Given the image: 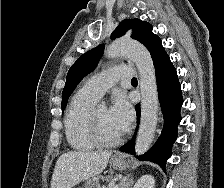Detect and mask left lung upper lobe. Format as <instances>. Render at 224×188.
I'll use <instances>...</instances> for the list:
<instances>
[{
    "mask_svg": "<svg viewBox=\"0 0 224 188\" xmlns=\"http://www.w3.org/2000/svg\"><path fill=\"white\" fill-rule=\"evenodd\" d=\"M129 29L133 30L131 37L141 42L149 50L154 66L167 56L162 46L161 39L152 32V25L140 19L123 20L111 34V39L124 35ZM102 52L103 45H99L84 53L71 66L62 92V111L78 83L95 68Z\"/></svg>",
    "mask_w": 224,
    "mask_h": 188,
    "instance_id": "left-lung-upper-lobe-1",
    "label": "left lung upper lobe"
}]
</instances>
